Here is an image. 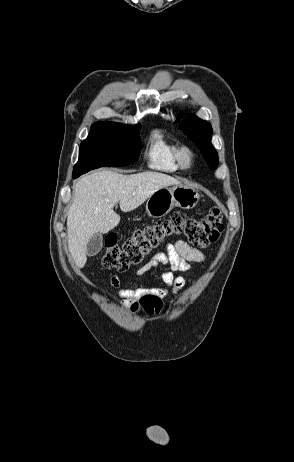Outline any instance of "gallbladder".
I'll use <instances>...</instances> for the list:
<instances>
[{"mask_svg": "<svg viewBox=\"0 0 294 462\" xmlns=\"http://www.w3.org/2000/svg\"><path fill=\"white\" fill-rule=\"evenodd\" d=\"M103 237L100 233H96L87 243L86 254L89 257L97 255L102 249Z\"/></svg>", "mask_w": 294, "mask_h": 462, "instance_id": "bac80fb5", "label": "gallbladder"}]
</instances>
